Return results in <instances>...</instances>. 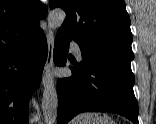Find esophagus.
<instances>
[{
    "label": "esophagus",
    "mask_w": 156,
    "mask_h": 124,
    "mask_svg": "<svg viewBox=\"0 0 156 124\" xmlns=\"http://www.w3.org/2000/svg\"><path fill=\"white\" fill-rule=\"evenodd\" d=\"M47 46H48L47 60L42 75V83L44 87H47L48 84L52 81L54 34L51 30L47 35Z\"/></svg>",
    "instance_id": "1"
}]
</instances>
